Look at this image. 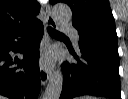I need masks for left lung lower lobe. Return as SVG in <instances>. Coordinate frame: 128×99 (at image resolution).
<instances>
[{
    "label": "left lung lower lobe",
    "mask_w": 128,
    "mask_h": 99,
    "mask_svg": "<svg viewBox=\"0 0 128 99\" xmlns=\"http://www.w3.org/2000/svg\"><path fill=\"white\" fill-rule=\"evenodd\" d=\"M80 57L70 50L77 64L64 62L60 99L82 95L121 99L118 39L102 34L79 38ZM81 58L82 60H80Z\"/></svg>",
    "instance_id": "left-lung-lower-lobe-1"
}]
</instances>
